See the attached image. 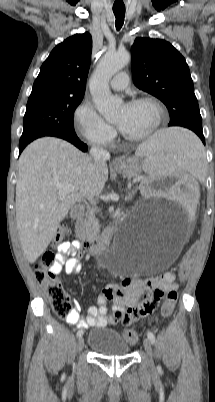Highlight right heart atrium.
I'll return each mask as SVG.
<instances>
[{"mask_svg":"<svg viewBox=\"0 0 215 402\" xmlns=\"http://www.w3.org/2000/svg\"><path fill=\"white\" fill-rule=\"evenodd\" d=\"M77 133L87 142L97 146H108L116 136L114 128L96 111L93 105L82 102L74 113Z\"/></svg>","mask_w":215,"mask_h":402,"instance_id":"obj_1","label":"right heart atrium"}]
</instances>
